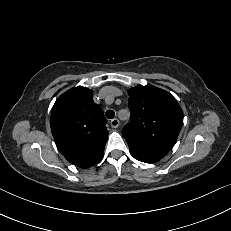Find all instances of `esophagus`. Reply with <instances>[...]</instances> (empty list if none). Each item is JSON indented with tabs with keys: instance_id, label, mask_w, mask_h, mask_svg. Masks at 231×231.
Listing matches in <instances>:
<instances>
[{
	"instance_id": "esophagus-1",
	"label": "esophagus",
	"mask_w": 231,
	"mask_h": 231,
	"mask_svg": "<svg viewBox=\"0 0 231 231\" xmlns=\"http://www.w3.org/2000/svg\"><path fill=\"white\" fill-rule=\"evenodd\" d=\"M112 128H117L119 126V120L117 118H114L110 121Z\"/></svg>"
}]
</instances>
